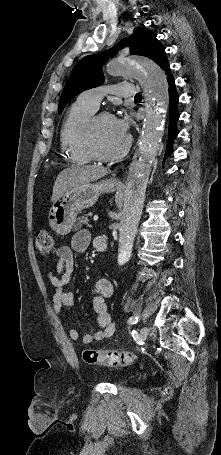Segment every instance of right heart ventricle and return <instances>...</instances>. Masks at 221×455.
<instances>
[{
  "instance_id": "obj_1",
  "label": "right heart ventricle",
  "mask_w": 221,
  "mask_h": 455,
  "mask_svg": "<svg viewBox=\"0 0 221 455\" xmlns=\"http://www.w3.org/2000/svg\"><path fill=\"white\" fill-rule=\"evenodd\" d=\"M95 111L79 97L62 122L60 148L63 157L72 164H85L91 160L83 146L82 133L85 123Z\"/></svg>"
}]
</instances>
